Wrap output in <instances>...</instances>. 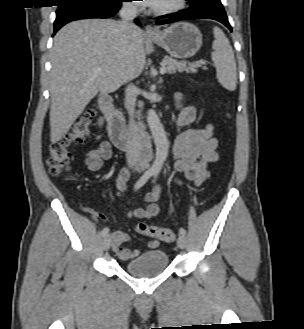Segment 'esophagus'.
<instances>
[{
	"mask_svg": "<svg viewBox=\"0 0 304 329\" xmlns=\"http://www.w3.org/2000/svg\"><path fill=\"white\" fill-rule=\"evenodd\" d=\"M157 31L151 26V25H147L145 27V34L148 36H153L156 35Z\"/></svg>",
	"mask_w": 304,
	"mask_h": 329,
	"instance_id": "1",
	"label": "esophagus"
}]
</instances>
